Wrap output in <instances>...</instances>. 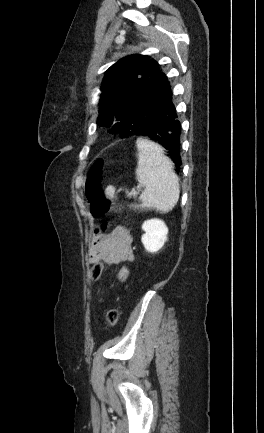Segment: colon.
Wrapping results in <instances>:
<instances>
[{
    "mask_svg": "<svg viewBox=\"0 0 264 433\" xmlns=\"http://www.w3.org/2000/svg\"><path fill=\"white\" fill-rule=\"evenodd\" d=\"M105 167V160L99 158L94 161L89 171L88 180L86 183V197L90 203L91 213L96 217H103L114 210L113 203L106 198L103 191V173ZM111 223L104 221L101 225V230L107 232ZM103 263H94L90 270L89 275L92 281H97L103 272ZM117 276L120 281L125 282L128 279L129 271L125 266H119L117 269ZM119 312L117 307L113 306L106 311L105 321L108 327H113L118 322Z\"/></svg>",
    "mask_w": 264,
    "mask_h": 433,
    "instance_id": "1",
    "label": "colon"
}]
</instances>
